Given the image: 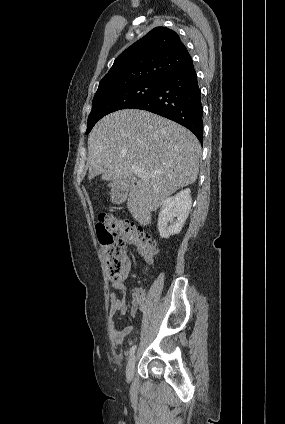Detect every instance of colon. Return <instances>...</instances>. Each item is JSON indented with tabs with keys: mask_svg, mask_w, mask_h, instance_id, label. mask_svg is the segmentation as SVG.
Listing matches in <instances>:
<instances>
[{
	"mask_svg": "<svg viewBox=\"0 0 285 424\" xmlns=\"http://www.w3.org/2000/svg\"><path fill=\"white\" fill-rule=\"evenodd\" d=\"M95 230L103 247L108 275L113 280L123 274L128 261L126 242L135 245L147 263H152L159 253L155 240L148 232L121 217L101 216Z\"/></svg>",
	"mask_w": 285,
	"mask_h": 424,
	"instance_id": "colon-1",
	"label": "colon"
}]
</instances>
